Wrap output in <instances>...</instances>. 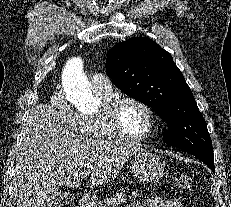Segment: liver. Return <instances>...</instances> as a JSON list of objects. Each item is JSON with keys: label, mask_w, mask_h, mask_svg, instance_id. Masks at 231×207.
<instances>
[{"label": "liver", "mask_w": 231, "mask_h": 207, "mask_svg": "<svg viewBox=\"0 0 231 207\" xmlns=\"http://www.w3.org/2000/svg\"><path fill=\"white\" fill-rule=\"evenodd\" d=\"M139 150L134 144L77 136L53 107L37 105L16 158L17 207H52L60 186L78 187L85 174H91L92 185H105Z\"/></svg>", "instance_id": "1"}]
</instances>
